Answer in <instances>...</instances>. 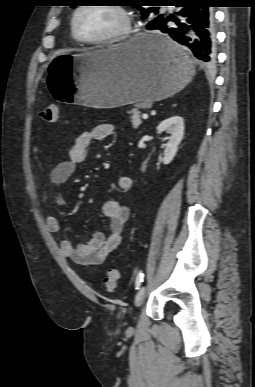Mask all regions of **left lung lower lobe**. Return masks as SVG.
I'll return each mask as SVG.
<instances>
[{
  "instance_id": "obj_1",
  "label": "left lung lower lobe",
  "mask_w": 255,
  "mask_h": 387,
  "mask_svg": "<svg viewBox=\"0 0 255 387\" xmlns=\"http://www.w3.org/2000/svg\"><path fill=\"white\" fill-rule=\"evenodd\" d=\"M215 3L210 0H174L169 6L179 7L176 13L168 17H159L146 26L148 44L167 59L183 63L180 45L189 49L193 55L201 60L203 66H210L215 61L216 37L214 15L211 7ZM173 22L177 27H173ZM162 33H165V37Z\"/></svg>"
}]
</instances>
